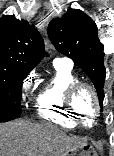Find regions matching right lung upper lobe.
I'll return each instance as SVG.
<instances>
[{
  "label": "right lung upper lobe",
  "instance_id": "1",
  "mask_svg": "<svg viewBox=\"0 0 114 156\" xmlns=\"http://www.w3.org/2000/svg\"><path fill=\"white\" fill-rule=\"evenodd\" d=\"M44 55L43 39L34 25L14 16L0 18V69L30 72Z\"/></svg>",
  "mask_w": 114,
  "mask_h": 156
}]
</instances>
